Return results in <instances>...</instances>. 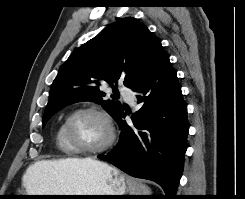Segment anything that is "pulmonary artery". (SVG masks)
<instances>
[{
	"label": "pulmonary artery",
	"mask_w": 245,
	"mask_h": 199,
	"mask_svg": "<svg viewBox=\"0 0 245 199\" xmlns=\"http://www.w3.org/2000/svg\"><path fill=\"white\" fill-rule=\"evenodd\" d=\"M119 90L121 91L122 95L129 101L133 102L134 101V93L125 86L119 87Z\"/></svg>",
	"instance_id": "obj_1"
}]
</instances>
